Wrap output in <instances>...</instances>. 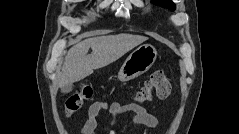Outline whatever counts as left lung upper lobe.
<instances>
[{"instance_id": "obj_1", "label": "left lung upper lobe", "mask_w": 239, "mask_h": 134, "mask_svg": "<svg viewBox=\"0 0 239 134\" xmlns=\"http://www.w3.org/2000/svg\"><path fill=\"white\" fill-rule=\"evenodd\" d=\"M151 2L155 4H160L161 6L168 8L171 11H174L176 9V6L172 2V0H152Z\"/></svg>"}]
</instances>
